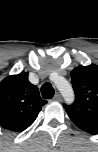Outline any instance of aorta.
<instances>
[{"instance_id": "obj_1", "label": "aorta", "mask_w": 98, "mask_h": 152, "mask_svg": "<svg viewBox=\"0 0 98 152\" xmlns=\"http://www.w3.org/2000/svg\"><path fill=\"white\" fill-rule=\"evenodd\" d=\"M55 84L67 102L73 101L74 93L70 83L66 79L63 77H58Z\"/></svg>"}]
</instances>
